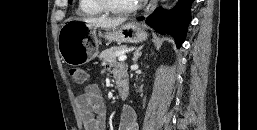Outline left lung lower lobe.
Listing matches in <instances>:
<instances>
[{
  "label": "left lung lower lobe",
  "mask_w": 257,
  "mask_h": 130,
  "mask_svg": "<svg viewBox=\"0 0 257 130\" xmlns=\"http://www.w3.org/2000/svg\"><path fill=\"white\" fill-rule=\"evenodd\" d=\"M193 0H179L177 5L169 11L161 7L146 18V23L160 32L169 33L175 37L177 48H180L185 40L187 26L191 20L190 7ZM144 20V17L138 18Z\"/></svg>",
  "instance_id": "0a47b994"
}]
</instances>
